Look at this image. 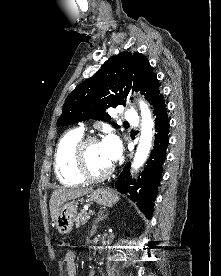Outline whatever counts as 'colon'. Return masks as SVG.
<instances>
[{"label":"colon","mask_w":221,"mask_h":276,"mask_svg":"<svg viewBox=\"0 0 221 276\" xmlns=\"http://www.w3.org/2000/svg\"><path fill=\"white\" fill-rule=\"evenodd\" d=\"M56 246H58V247H64V246H66V243L64 241H58L56 243Z\"/></svg>","instance_id":"colon-1"}]
</instances>
